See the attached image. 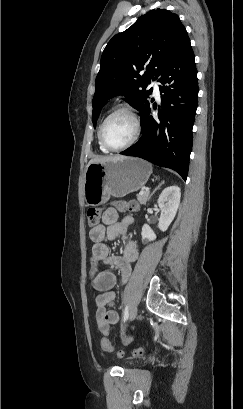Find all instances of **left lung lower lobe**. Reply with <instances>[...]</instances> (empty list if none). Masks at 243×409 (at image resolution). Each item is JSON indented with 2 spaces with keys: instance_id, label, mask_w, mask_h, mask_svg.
<instances>
[{
  "instance_id": "1",
  "label": "left lung lower lobe",
  "mask_w": 243,
  "mask_h": 409,
  "mask_svg": "<svg viewBox=\"0 0 243 409\" xmlns=\"http://www.w3.org/2000/svg\"><path fill=\"white\" fill-rule=\"evenodd\" d=\"M158 81L163 84L159 110L151 111L150 100L144 104L142 136L120 154L173 169L186 180L198 99L197 70L190 40L178 50Z\"/></svg>"
}]
</instances>
